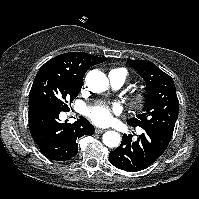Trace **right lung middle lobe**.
Wrapping results in <instances>:
<instances>
[{"label": "right lung middle lobe", "instance_id": "right-lung-middle-lobe-1", "mask_svg": "<svg viewBox=\"0 0 199 199\" xmlns=\"http://www.w3.org/2000/svg\"><path fill=\"white\" fill-rule=\"evenodd\" d=\"M82 82L53 72L37 73L29 93V104L35 101H49L62 111H68V101L77 97Z\"/></svg>", "mask_w": 199, "mask_h": 199}]
</instances>
